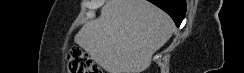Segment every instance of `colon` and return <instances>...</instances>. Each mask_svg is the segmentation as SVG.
<instances>
[{
    "label": "colon",
    "mask_w": 244,
    "mask_h": 73,
    "mask_svg": "<svg viewBox=\"0 0 244 73\" xmlns=\"http://www.w3.org/2000/svg\"><path fill=\"white\" fill-rule=\"evenodd\" d=\"M67 70L69 73H102L92 58L80 48H74L67 57Z\"/></svg>",
    "instance_id": "1"
}]
</instances>
